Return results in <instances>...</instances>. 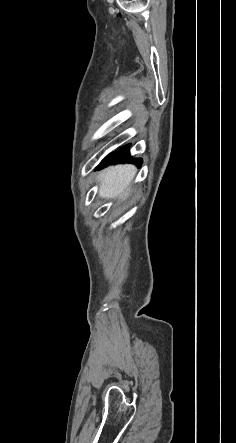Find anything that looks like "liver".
<instances>
[{
    "label": "liver",
    "mask_w": 236,
    "mask_h": 443,
    "mask_svg": "<svg viewBox=\"0 0 236 443\" xmlns=\"http://www.w3.org/2000/svg\"><path fill=\"white\" fill-rule=\"evenodd\" d=\"M137 172L133 165H117L105 169L98 175L99 196L105 199L117 198L125 201L130 193V184Z\"/></svg>",
    "instance_id": "6515ba94"
}]
</instances>
